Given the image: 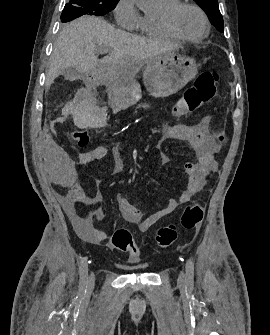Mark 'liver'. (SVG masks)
I'll return each mask as SVG.
<instances>
[{
    "label": "liver",
    "mask_w": 270,
    "mask_h": 335,
    "mask_svg": "<svg viewBox=\"0 0 270 335\" xmlns=\"http://www.w3.org/2000/svg\"><path fill=\"white\" fill-rule=\"evenodd\" d=\"M177 44H159L144 36H135L123 30H116L111 24L96 18L82 16L66 24L59 32L51 56L50 70L46 86L50 88L55 78L63 74L65 68H77L80 72H102L108 76L111 72L114 80L122 78L124 82H135L134 78L141 70L145 60L154 56L169 54ZM111 52L103 58L110 64L98 60V52ZM98 68V70H96Z\"/></svg>",
    "instance_id": "6515ba94"
}]
</instances>
